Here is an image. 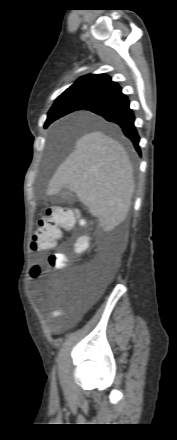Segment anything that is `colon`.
Listing matches in <instances>:
<instances>
[{
    "mask_svg": "<svg viewBox=\"0 0 177 440\" xmlns=\"http://www.w3.org/2000/svg\"><path fill=\"white\" fill-rule=\"evenodd\" d=\"M78 223L84 224L83 220H79L78 212L75 209L52 206L38 220L37 229L32 240V249L42 251L54 248L61 231L70 230ZM88 247L89 240L86 237H81L75 244V249L79 253L86 252ZM47 262L52 269H61L65 265L64 256L59 253H51Z\"/></svg>",
    "mask_w": 177,
    "mask_h": 440,
    "instance_id": "colon-1",
    "label": "colon"
}]
</instances>
